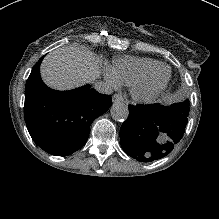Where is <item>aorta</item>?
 <instances>
[{
	"mask_svg": "<svg viewBox=\"0 0 219 219\" xmlns=\"http://www.w3.org/2000/svg\"><path fill=\"white\" fill-rule=\"evenodd\" d=\"M111 117L117 122H124L129 116V109L123 102H114L110 108Z\"/></svg>",
	"mask_w": 219,
	"mask_h": 219,
	"instance_id": "1",
	"label": "aorta"
}]
</instances>
